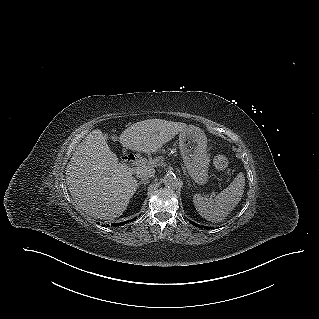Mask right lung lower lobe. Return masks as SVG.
<instances>
[{"label": "right lung lower lobe", "mask_w": 319, "mask_h": 319, "mask_svg": "<svg viewBox=\"0 0 319 319\" xmlns=\"http://www.w3.org/2000/svg\"><path fill=\"white\" fill-rule=\"evenodd\" d=\"M137 218H134V219H132V220H129V221H125V222H120V223H117V224H112V226H121V225H123V224H126V223H128V222H131V221H134V220H136Z\"/></svg>", "instance_id": "98d812e1"}]
</instances>
